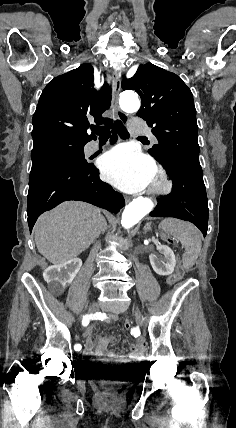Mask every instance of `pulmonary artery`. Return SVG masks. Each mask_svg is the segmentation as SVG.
Returning a JSON list of instances; mask_svg holds the SVG:
<instances>
[{"mask_svg":"<svg viewBox=\"0 0 236 428\" xmlns=\"http://www.w3.org/2000/svg\"><path fill=\"white\" fill-rule=\"evenodd\" d=\"M154 139H156V138L154 137ZM99 150H100L99 144L97 142H94V141L88 143L85 147L86 154H94Z\"/></svg>","mask_w":236,"mask_h":428,"instance_id":"e3ab8cb5","label":"pulmonary artery"}]
</instances>
